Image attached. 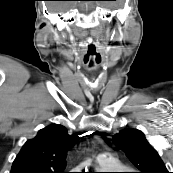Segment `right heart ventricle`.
Returning a JSON list of instances; mask_svg holds the SVG:
<instances>
[{
    "mask_svg": "<svg viewBox=\"0 0 173 173\" xmlns=\"http://www.w3.org/2000/svg\"><path fill=\"white\" fill-rule=\"evenodd\" d=\"M98 163L105 169H117L118 171H125L126 169L120 161L112 156H107L104 160H101Z\"/></svg>",
    "mask_w": 173,
    "mask_h": 173,
    "instance_id": "e07e8e85",
    "label": "right heart ventricle"
}]
</instances>
